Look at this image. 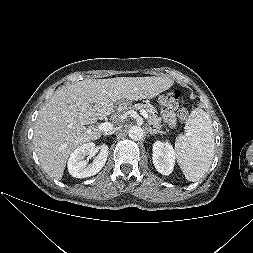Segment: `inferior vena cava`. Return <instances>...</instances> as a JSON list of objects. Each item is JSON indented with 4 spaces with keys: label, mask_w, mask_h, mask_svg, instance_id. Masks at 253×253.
I'll return each mask as SVG.
<instances>
[{
    "label": "inferior vena cava",
    "mask_w": 253,
    "mask_h": 253,
    "mask_svg": "<svg viewBox=\"0 0 253 253\" xmlns=\"http://www.w3.org/2000/svg\"><path fill=\"white\" fill-rule=\"evenodd\" d=\"M116 130H117V129H114V130H112V131L107 132L106 134H107V135L113 134Z\"/></svg>",
    "instance_id": "obj_1"
}]
</instances>
